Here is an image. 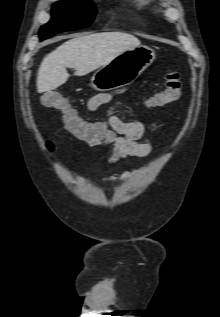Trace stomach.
Segmentation results:
<instances>
[{
  "mask_svg": "<svg viewBox=\"0 0 220 317\" xmlns=\"http://www.w3.org/2000/svg\"><path fill=\"white\" fill-rule=\"evenodd\" d=\"M154 59V51L146 46L126 50L94 73L91 86L98 91H108L129 85Z\"/></svg>",
  "mask_w": 220,
  "mask_h": 317,
  "instance_id": "1",
  "label": "stomach"
}]
</instances>
